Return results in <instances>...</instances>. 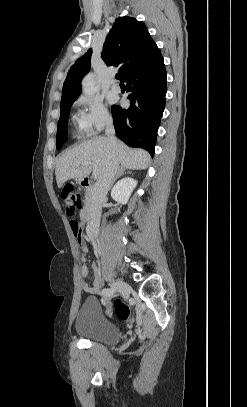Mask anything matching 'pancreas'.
<instances>
[{
  "instance_id": "pancreas-1",
  "label": "pancreas",
  "mask_w": 247,
  "mask_h": 407,
  "mask_svg": "<svg viewBox=\"0 0 247 407\" xmlns=\"http://www.w3.org/2000/svg\"><path fill=\"white\" fill-rule=\"evenodd\" d=\"M91 197H92V190H91V189H88V190L86 191V194H85V201H86V202H89V201L91 200Z\"/></svg>"
}]
</instances>
